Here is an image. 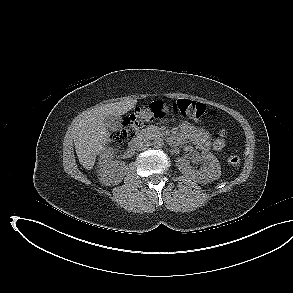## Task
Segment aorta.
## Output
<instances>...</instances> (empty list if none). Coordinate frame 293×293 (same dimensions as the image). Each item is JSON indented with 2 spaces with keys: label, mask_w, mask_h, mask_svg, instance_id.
<instances>
[{
  "label": "aorta",
  "mask_w": 293,
  "mask_h": 293,
  "mask_svg": "<svg viewBox=\"0 0 293 293\" xmlns=\"http://www.w3.org/2000/svg\"><path fill=\"white\" fill-rule=\"evenodd\" d=\"M155 148H161L164 145V140L163 139H156L153 143Z\"/></svg>",
  "instance_id": "aorta-1"
}]
</instances>
